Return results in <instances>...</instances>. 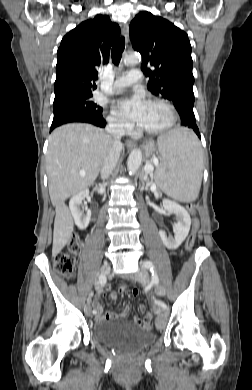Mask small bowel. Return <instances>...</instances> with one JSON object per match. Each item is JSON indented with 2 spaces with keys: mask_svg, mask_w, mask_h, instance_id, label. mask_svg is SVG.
Listing matches in <instances>:
<instances>
[{
  "mask_svg": "<svg viewBox=\"0 0 252 390\" xmlns=\"http://www.w3.org/2000/svg\"><path fill=\"white\" fill-rule=\"evenodd\" d=\"M121 287H122V286H121ZM121 287H120V288H121ZM108 290L110 291V299H111L112 301H116V300L118 299V294H117V292L112 291V290H110L109 288H108ZM119 293H120V294H124V293H125V289H123V290L119 289ZM103 296H104L103 291H102V290H101V291H98V290H97L96 297H95V299H94L93 302H92V305H93L94 309H96L97 312H98V315L96 316V321H97V322L104 321V320H111V319H123V318H126V316H127L128 313H129V308H128V307H125V308L122 310V312H120V313L112 312V311L103 313L102 305H101V303L99 302V298H101V297H103ZM139 309H140V311H141L142 313L145 312V307H144L143 305H141ZM133 322H134L135 324H137L138 326H142V325H143V321H142L140 318H138V317H134ZM144 325H146V324L144 323Z\"/></svg>",
  "mask_w": 252,
  "mask_h": 390,
  "instance_id": "c3829d8e",
  "label": "small bowel"
}]
</instances>
